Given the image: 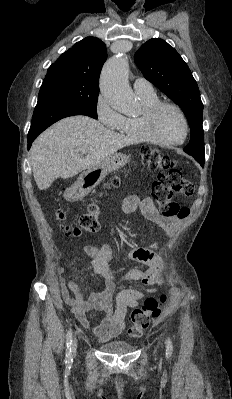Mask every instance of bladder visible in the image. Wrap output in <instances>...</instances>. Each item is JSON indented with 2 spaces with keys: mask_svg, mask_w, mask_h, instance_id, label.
<instances>
[{
  "mask_svg": "<svg viewBox=\"0 0 232 399\" xmlns=\"http://www.w3.org/2000/svg\"><path fill=\"white\" fill-rule=\"evenodd\" d=\"M133 347L122 341H111L100 346V350L108 354H126L133 351Z\"/></svg>",
  "mask_w": 232,
  "mask_h": 399,
  "instance_id": "obj_1",
  "label": "bladder"
}]
</instances>
